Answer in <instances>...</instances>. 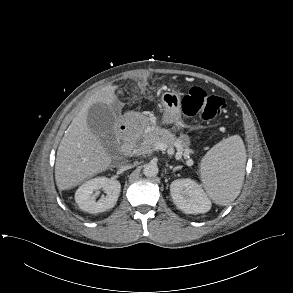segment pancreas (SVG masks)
<instances>
[{"mask_svg":"<svg viewBox=\"0 0 293 293\" xmlns=\"http://www.w3.org/2000/svg\"><path fill=\"white\" fill-rule=\"evenodd\" d=\"M142 143L138 147V152L141 154H151L156 150V144L163 142L168 146H172L176 141H179L173 134L168 130L154 127L141 134ZM185 152H189L188 148L184 149Z\"/></svg>","mask_w":293,"mask_h":293,"instance_id":"pancreas-1","label":"pancreas"}]
</instances>
